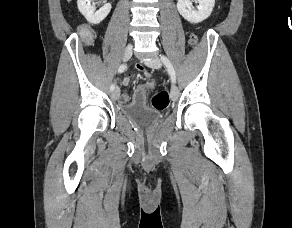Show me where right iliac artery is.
Listing matches in <instances>:
<instances>
[{
	"mask_svg": "<svg viewBox=\"0 0 292 228\" xmlns=\"http://www.w3.org/2000/svg\"><path fill=\"white\" fill-rule=\"evenodd\" d=\"M126 68H127V65H126V64H122V65L118 68V73H122V72H124V71L126 70ZM114 89H115V85L112 84V85L110 86V90L113 91Z\"/></svg>",
	"mask_w": 292,
	"mask_h": 228,
	"instance_id": "82829eb1",
	"label": "right iliac artery"
}]
</instances>
